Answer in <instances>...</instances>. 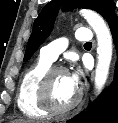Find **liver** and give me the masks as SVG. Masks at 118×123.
Returning a JSON list of instances; mask_svg holds the SVG:
<instances>
[{"label": "liver", "instance_id": "6515ba94", "mask_svg": "<svg viewBox=\"0 0 118 123\" xmlns=\"http://www.w3.org/2000/svg\"><path fill=\"white\" fill-rule=\"evenodd\" d=\"M12 123H34V122L25 121V120H14V121H12Z\"/></svg>", "mask_w": 118, "mask_h": 123}]
</instances>
